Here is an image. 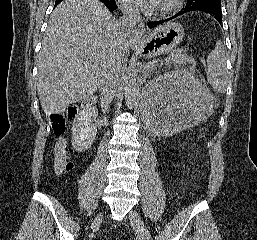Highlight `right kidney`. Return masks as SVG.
I'll list each match as a JSON object with an SVG mask.
<instances>
[{
  "label": "right kidney",
  "mask_w": 257,
  "mask_h": 240,
  "mask_svg": "<svg viewBox=\"0 0 257 240\" xmlns=\"http://www.w3.org/2000/svg\"><path fill=\"white\" fill-rule=\"evenodd\" d=\"M94 108L80 111L72 125V146L77 151L87 150L95 140L97 129L93 124Z\"/></svg>",
  "instance_id": "1"
}]
</instances>
